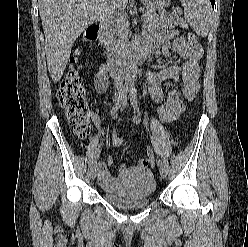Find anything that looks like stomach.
<instances>
[{
	"mask_svg": "<svg viewBox=\"0 0 248 247\" xmlns=\"http://www.w3.org/2000/svg\"><path fill=\"white\" fill-rule=\"evenodd\" d=\"M148 9H161L167 6L170 0H140Z\"/></svg>",
	"mask_w": 248,
	"mask_h": 247,
	"instance_id": "1",
	"label": "stomach"
}]
</instances>
